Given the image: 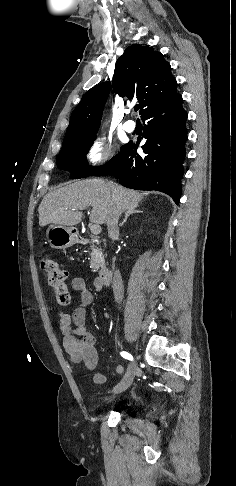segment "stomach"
<instances>
[{"label":"stomach","mask_w":236,"mask_h":486,"mask_svg":"<svg viewBox=\"0 0 236 486\" xmlns=\"http://www.w3.org/2000/svg\"><path fill=\"white\" fill-rule=\"evenodd\" d=\"M46 234L51 247L55 249H65L78 242L77 232L70 226L52 224Z\"/></svg>","instance_id":"1"}]
</instances>
